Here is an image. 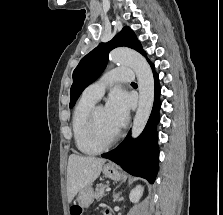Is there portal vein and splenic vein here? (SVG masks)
<instances>
[{
    "mask_svg": "<svg viewBox=\"0 0 223 215\" xmlns=\"http://www.w3.org/2000/svg\"><path fill=\"white\" fill-rule=\"evenodd\" d=\"M106 188H107V191H109V192H111V191L113 190V189L111 188V186H109V185H108ZM107 191H106V192H107Z\"/></svg>",
    "mask_w": 223,
    "mask_h": 215,
    "instance_id": "obj_1",
    "label": "portal vein and splenic vein"
}]
</instances>
